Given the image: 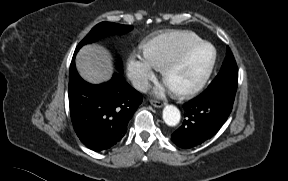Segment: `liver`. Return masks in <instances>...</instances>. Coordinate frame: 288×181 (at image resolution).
Returning a JSON list of instances; mask_svg holds the SVG:
<instances>
[{
	"label": "liver",
	"mask_w": 288,
	"mask_h": 181,
	"mask_svg": "<svg viewBox=\"0 0 288 181\" xmlns=\"http://www.w3.org/2000/svg\"><path fill=\"white\" fill-rule=\"evenodd\" d=\"M75 63L80 76L93 84L108 81L113 73L110 53L96 44L82 47L76 56Z\"/></svg>",
	"instance_id": "obj_1"
}]
</instances>
